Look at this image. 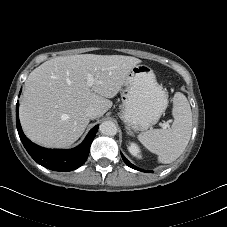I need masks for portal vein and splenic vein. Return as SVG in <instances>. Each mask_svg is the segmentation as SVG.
<instances>
[{
    "label": "portal vein and splenic vein",
    "instance_id": "obj_1",
    "mask_svg": "<svg viewBox=\"0 0 227 227\" xmlns=\"http://www.w3.org/2000/svg\"><path fill=\"white\" fill-rule=\"evenodd\" d=\"M93 83H94L93 76L91 74H88V76H87V84H88V86L91 87L93 85ZM161 127L163 129H166L168 127V124L167 123H161Z\"/></svg>",
    "mask_w": 227,
    "mask_h": 227
}]
</instances>
